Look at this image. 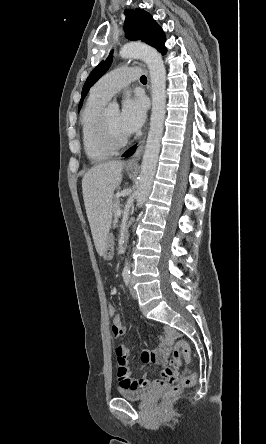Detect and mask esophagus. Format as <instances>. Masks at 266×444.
<instances>
[{
  "mask_svg": "<svg viewBox=\"0 0 266 444\" xmlns=\"http://www.w3.org/2000/svg\"><path fill=\"white\" fill-rule=\"evenodd\" d=\"M146 135L142 138L140 141L138 148L136 152L133 154V156L126 162L127 167H138L139 161L141 159L143 149H144V143H145Z\"/></svg>",
  "mask_w": 266,
  "mask_h": 444,
  "instance_id": "esophagus-1",
  "label": "esophagus"
}]
</instances>
